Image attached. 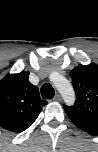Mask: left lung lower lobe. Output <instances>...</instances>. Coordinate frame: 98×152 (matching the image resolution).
<instances>
[{"label":"left lung lower lobe","mask_w":98,"mask_h":152,"mask_svg":"<svg viewBox=\"0 0 98 152\" xmlns=\"http://www.w3.org/2000/svg\"><path fill=\"white\" fill-rule=\"evenodd\" d=\"M81 130L91 134V135H97L98 134V130L95 129H90V128H80Z\"/></svg>","instance_id":"1"}]
</instances>
